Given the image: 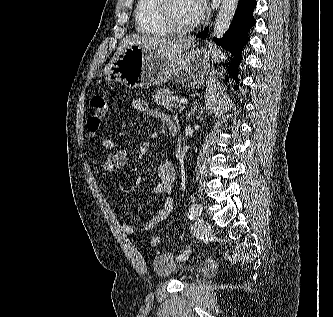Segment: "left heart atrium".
Segmentation results:
<instances>
[{
  "label": "left heart atrium",
  "instance_id": "left-heart-atrium-1",
  "mask_svg": "<svg viewBox=\"0 0 333 317\" xmlns=\"http://www.w3.org/2000/svg\"><path fill=\"white\" fill-rule=\"evenodd\" d=\"M192 11L195 22L202 20L206 13V4L204 0H191Z\"/></svg>",
  "mask_w": 333,
  "mask_h": 317
}]
</instances>
